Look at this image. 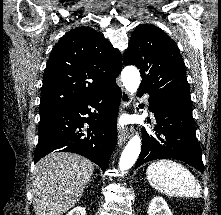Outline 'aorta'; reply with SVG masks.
Returning a JSON list of instances; mask_svg holds the SVG:
<instances>
[{
	"label": "aorta",
	"mask_w": 221,
	"mask_h": 215,
	"mask_svg": "<svg viewBox=\"0 0 221 215\" xmlns=\"http://www.w3.org/2000/svg\"><path fill=\"white\" fill-rule=\"evenodd\" d=\"M121 79L126 90L133 95L139 88L141 82L140 72L134 66H127L121 72ZM140 150L141 139L139 135L136 134L129 140L121 154L119 161L121 171H126L134 165L140 154Z\"/></svg>",
	"instance_id": "762f6f07"
}]
</instances>
